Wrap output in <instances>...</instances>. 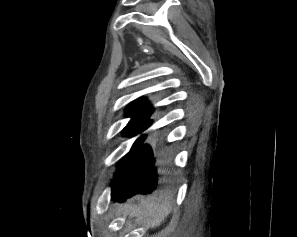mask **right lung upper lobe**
<instances>
[{
	"mask_svg": "<svg viewBox=\"0 0 297 237\" xmlns=\"http://www.w3.org/2000/svg\"><path fill=\"white\" fill-rule=\"evenodd\" d=\"M153 110V107L146 101V98H139L126 108V115L131 117L130 122L133 123L141 120H149Z\"/></svg>",
	"mask_w": 297,
	"mask_h": 237,
	"instance_id": "cb5924a9",
	"label": "right lung upper lobe"
}]
</instances>
